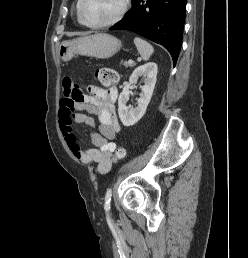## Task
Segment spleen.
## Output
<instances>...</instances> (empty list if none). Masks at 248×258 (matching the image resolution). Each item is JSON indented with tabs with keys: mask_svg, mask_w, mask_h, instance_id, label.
<instances>
[{
	"mask_svg": "<svg viewBox=\"0 0 248 258\" xmlns=\"http://www.w3.org/2000/svg\"><path fill=\"white\" fill-rule=\"evenodd\" d=\"M134 43L142 59L147 61L154 52L153 46L139 37L134 39Z\"/></svg>",
	"mask_w": 248,
	"mask_h": 258,
	"instance_id": "1",
	"label": "spleen"
}]
</instances>
